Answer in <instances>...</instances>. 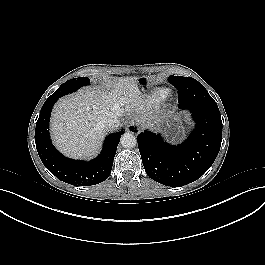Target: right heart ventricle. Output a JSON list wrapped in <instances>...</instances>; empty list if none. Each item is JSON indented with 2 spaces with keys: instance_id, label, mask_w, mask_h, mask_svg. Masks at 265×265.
<instances>
[{
  "instance_id": "e07e8e85",
  "label": "right heart ventricle",
  "mask_w": 265,
  "mask_h": 265,
  "mask_svg": "<svg viewBox=\"0 0 265 265\" xmlns=\"http://www.w3.org/2000/svg\"><path fill=\"white\" fill-rule=\"evenodd\" d=\"M169 95V90L164 87H158L151 90L143 98V104L146 108H153L159 105Z\"/></svg>"
}]
</instances>
